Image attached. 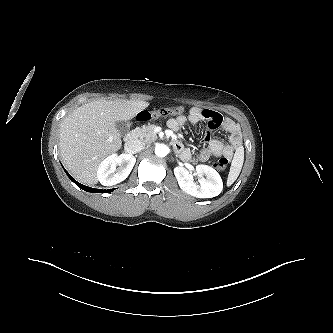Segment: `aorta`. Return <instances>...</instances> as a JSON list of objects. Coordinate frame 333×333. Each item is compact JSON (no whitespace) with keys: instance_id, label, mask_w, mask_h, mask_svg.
Returning <instances> with one entry per match:
<instances>
[{"instance_id":"aorta-1","label":"aorta","mask_w":333,"mask_h":333,"mask_svg":"<svg viewBox=\"0 0 333 333\" xmlns=\"http://www.w3.org/2000/svg\"><path fill=\"white\" fill-rule=\"evenodd\" d=\"M169 153V148L165 144H158L155 147V154L158 157H165Z\"/></svg>"}]
</instances>
